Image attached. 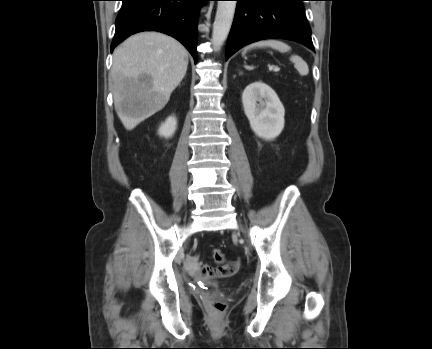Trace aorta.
<instances>
[{
	"instance_id": "1",
	"label": "aorta",
	"mask_w": 432,
	"mask_h": 349,
	"mask_svg": "<svg viewBox=\"0 0 432 349\" xmlns=\"http://www.w3.org/2000/svg\"><path fill=\"white\" fill-rule=\"evenodd\" d=\"M236 3V1H218L212 32V43L216 50L220 49L227 39L235 14Z\"/></svg>"
}]
</instances>
